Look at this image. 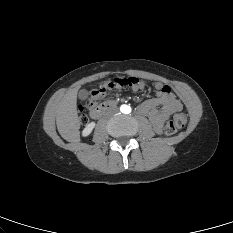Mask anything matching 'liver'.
Listing matches in <instances>:
<instances>
[{"label":"liver","instance_id":"1","mask_svg":"<svg viewBox=\"0 0 233 233\" xmlns=\"http://www.w3.org/2000/svg\"><path fill=\"white\" fill-rule=\"evenodd\" d=\"M78 89H71L61 99L56 111V124L61 137L69 142L79 135L80 119L77 112Z\"/></svg>","mask_w":233,"mask_h":233}]
</instances>
